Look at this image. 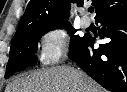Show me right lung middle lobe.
<instances>
[{
	"mask_svg": "<svg viewBox=\"0 0 127 92\" xmlns=\"http://www.w3.org/2000/svg\"><path fill=\"white\" fill-rule=\"evenodd\" d=\"M53 27L57 26H35L29 28L21 35L12 39L5 78L10 77L23 66L37 61V58L34 55L36 44L40 37ZM58 27H67L70 35H73L76 31L69 24L59 25ZM86 35L87 34H85L83 37H80L79 35L72 36L70 42V51L76 49L85 39Z\"/></svg>",
	"mask_w": 127,
	"mask_h": 92,
	"instance_id": "right-lung-middle-lobe-1",
	"label": "right lung middle lobe"
}]
</instances>
